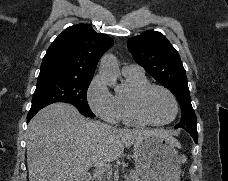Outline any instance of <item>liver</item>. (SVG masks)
Wrapping results in <instances>:
<instances>
[{
    "label": "liver",
    "instance_id": "6515ba94",
    "mask_svg": "<svg viewBox=\"0 0 228 181\" xmlns=\"http://www.w3.org/2000/svg\"><path fill=\"white\" fill-rule=\"evenodd\" d=\"M155 133L181 149L169 131L115 129L86 121L68 103H53L41 109L27 127L29 181H82L90 167L118 161L124 149Z\"/></svg>",
    "mask_w": 228,
    "mask_h": 181
}]
</instances>
